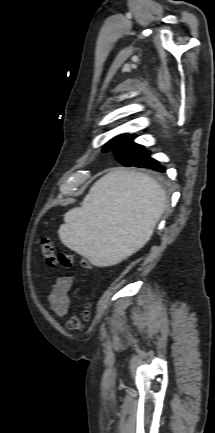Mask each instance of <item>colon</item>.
Listing matches in <instances>:
<instances>
[{"label": "colon", "mask_w": 215, "mask_h": 433, "mask_svg": "<svg viewBox=\"0 0 215 433\" xmlns=\"http://www.w3.org/2000/svg\"><path fill=\"white\" fill-rule=\"evenodd\" d=\"M41 250L46 263L50 266H61L69 268L74 264V254L72 253H58L56 252L53 241L50 238H43L41 241ZM83 267H88L87 261H82ZM90 305L86 304L84 309L78 314L71 316L67 322L66 327L69 331H80L84 328L85 323L90 318Z\"/></svg>", "instance_id": "1"}]
</instances>
